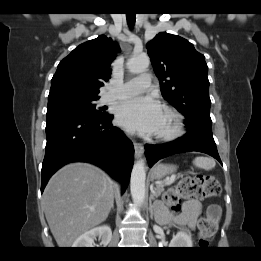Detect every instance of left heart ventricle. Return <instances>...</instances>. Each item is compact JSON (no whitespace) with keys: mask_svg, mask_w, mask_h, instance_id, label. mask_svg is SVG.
I'll use <instances>...</instances> for the list:
<instances>
[{"mask_svg":"<svg viewBox=\"0 0 261 261\" xmlns=\"http://www.w3.org/2000/svg\"><path fill=\"white\" fill-rule=\"evenodd\" d=\"M170 128H171V120H170V118L167 115H165L159 133L166 132Z\"/></svg>","mask_w":261,"mask_h":261,"instance_id":"1","label":"left heart ventricle"}]
</instances>
